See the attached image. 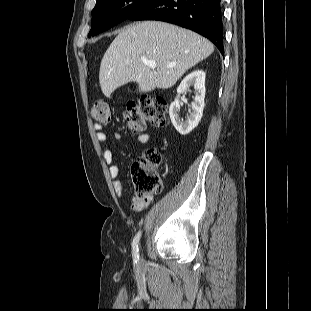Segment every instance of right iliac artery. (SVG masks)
Listing matches in <instances>:
<instances>
[{
  "mask_svg": "<svg viewBox=\"0 0 311 311\" xmlns=\"http://www.w3.org/2000/svg\"><path fill=\"white\" fill-rule=\"evenodd\" d=\"M140 237H141V231H139L136 234V236L134 237L133 242H132L133 261L136 264L139 261V247H138V245H139Z\"/></svg>",
  "mask_w": 311,
  "mask_h": 311,
  "instance_id": "82829eb1",
  "label": "right iliac artery"
}]
</instances>
